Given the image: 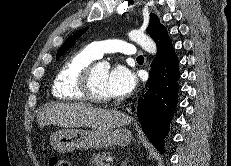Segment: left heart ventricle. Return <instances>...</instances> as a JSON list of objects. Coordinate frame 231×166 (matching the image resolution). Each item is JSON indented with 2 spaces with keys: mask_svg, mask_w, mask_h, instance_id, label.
<instances>
[{
  "mask_svg": "<svg viewBox=\"0 0 231 166\" xmlns=\"http://www.w3.org/2000/svg\"><path fill=\"white\" fill-rule=\"evenodd\" d=\"M107 76H108V70L101 65H97L94 71L95 89L99 94L110 97V94L108 93L106 88Z\"/></svg>",
  "mask_w": 231,
  "mask_h": 166,
  "instance_id": "1",
  "label": "left heart ventricle"
}]
</instances>
